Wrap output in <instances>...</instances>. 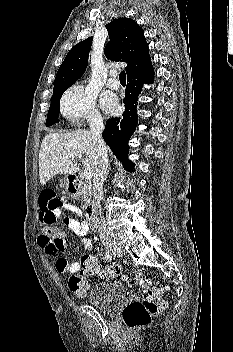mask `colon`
I'll use <instances>...</instances> for the list:
<instances>
[{"instance_id":"1","label":"colon","mask_w":233,"mask_h":352,"mask_svg":"<svg viewBox=\"0 0 233 352\" xmlns=\"http://www.w3.org/2000/svg\"><path fill=\"white\" fill-rule=\"evenodd\" d=\"M42 237L57 245L64 244V235L55 228L49 221L41 222ZM82 268L79 272L69 276V288L78 298H84L89 292V276L100 273L108 279H126L122 266L110 264L102 271L98 258L92 254H86L81 258ZM135 284L139 287L142 299L128 303L122 311V318L125 325L135 329L148 325L151 319L167 306L166 301L161 298L166 291L162 284H153L149 277H144L138 272L135 277Z\"/></svg>"}]
</instances>
